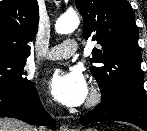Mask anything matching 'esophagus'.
Here are the masks:
<instances>
[{"mask_svg":"<svg viewBox=\"0 0 147 131\" xmlns=\"http://www.w3.org/2000/svg\"><path fill=\"white\" fill-rule=\"evenodd\" d=\"M60 131H72V130H70L69 127H68L67 125L62 124V125L60 126Z\"/></svg>","mask_w":147,"mask_h":131,"instance_id":"esophagus-1","label":"esophagus"}]
</instances>
